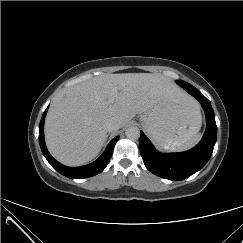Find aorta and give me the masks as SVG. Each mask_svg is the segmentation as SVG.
Instances as JSON below:
<instances>
[{
	"label": "aorta",
	"instance_id": "obj_1",
	"mask_svg": "<svg viewBox=\"0 0 243 243\" xmlns=\"http://www.w3.org/2000/svg\"><path fill=\"white\" fill-rule=\"evenodd\" d=\"M126 137L131 140H137L140 137V130L138 127L130 126L126 129Z\"/></svg>",
	"mask_w": 243,
	"mask_h": 243
}]
</instances>
